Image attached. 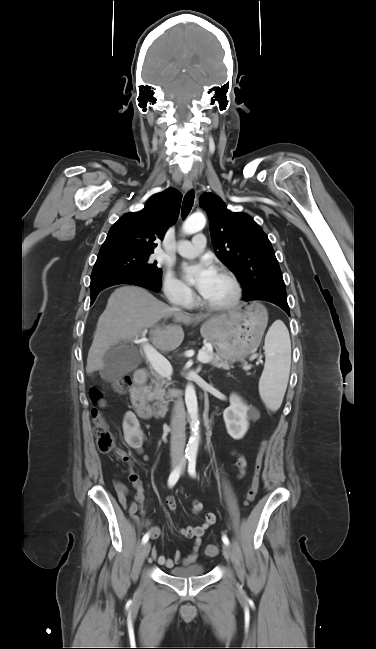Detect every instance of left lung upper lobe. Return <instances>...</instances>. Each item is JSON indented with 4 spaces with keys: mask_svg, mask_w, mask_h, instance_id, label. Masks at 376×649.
<instances>
[{
    "mask_svg": "<svg viewBox=\"0 0 376 649\" xmlns=\"http://www.w3.org/2000/svg\"><path fill=\"white\" fill-rule=\"evenodd\" d=\"M199 203L208 214L217 257L236 271L245 285L243 299L269 295L287 300L278 261L261 227L246 213L230 212L215 194L204 192Z\"/></svg>",
    "mask_w": 376,
    "mask_h": 649,
    "instance_id": "left-lung-upper-lobe-1",
    "label": "left lung upper lobe"
}]
</instances>
